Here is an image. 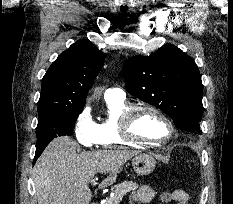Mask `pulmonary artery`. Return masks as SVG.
<instances>
[{"instance_id":"e3ab8cb5","label":"pulmonary artery","mask_w":233,"mask_h":204,"mask_svg":"<svg viewBox=\"0 0 233 204\" xmlns=\"http://www.w3.org/2000/svg\"><path fill=\"white\" fill-rule=\"evenodd\" d=\"M104 98L109 99V98H125V93L122 89L118 87H111L106 89L104 93Z\"/></svg>"}]
</instances>
